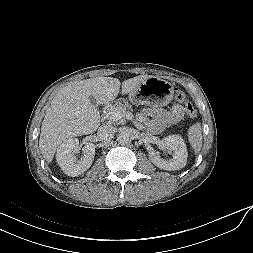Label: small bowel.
Masks as SVG:
<instances>
[{
    "label": "small bowel",
    "instance_id": "c3829d8e",
    "mask_svg": "<svg viewBox=\"0 0 253 253\" xmlns=\"http://www.w3.org/2000/svg\"><path fill=\"white\" fill-rule=\"evenodd\" d=\"M184 109L180 105H173L169 111L164 109H149L144 115L149 116L152 122V129L160 132L166 125L175 124L181 120Z\"/></svg>",
    "mask_w": 253,
    "mask_h": 253
}]
</instances>
